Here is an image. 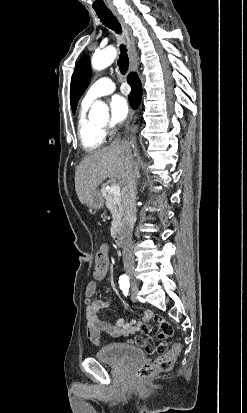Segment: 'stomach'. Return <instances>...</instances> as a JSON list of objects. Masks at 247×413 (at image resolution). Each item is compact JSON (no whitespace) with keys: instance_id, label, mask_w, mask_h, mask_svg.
Listing matches in <instances>:
<instances>
[{"instance_id":"obj_1","label":"stomach","mask_w":247,"mask_h":413,"mask_svg":"<svg viewBox=\"0 0 247 413\" xmlns=\"http://www.w3.org/2000/svg\"><path fill=\"white\" fill-rule=\"evenodd\" d=\"M85 204L86 207H89V209H101V207H103L104 204V198L101 192H99V190H94V192H91Z\"/></svg>"}]
</instances>
